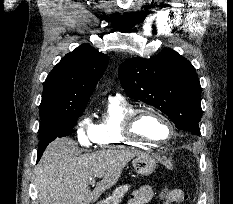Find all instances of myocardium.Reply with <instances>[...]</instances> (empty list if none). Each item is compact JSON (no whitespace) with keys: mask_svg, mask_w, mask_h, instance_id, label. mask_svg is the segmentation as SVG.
I'll return each instance as SVG.
<instances>
[{"mask_svg":"<svg viewBox=\"0 0 233 204\" xmlns=\"http://www.w3.org/2000/svg\"><path fill=\"white\" fill-rule=\"evenodd\" d=\"M143 113H151L159 117L164 121V123L167 125L169 134L168 137L164 140L158 141V140H152L146 137H143L139 135L136 130V121L139 117V115ZM123 133L126 138L137 141V142H142L148 145H153V146H158V145H163L171 141V139L174 137L175 134V129L173 126L172 121L169 119V117L164 114L161 110L153 107V106H141L137 108H133L125 117L124 124H123Z\"/></svg>","mask_w":233,"mask_h":204,"instance_id":"obj_1","label":"myocardium"}]
</instances>
